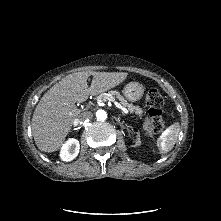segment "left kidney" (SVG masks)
<instances>
[{"label": "left kidney", "instance_id": "1", "mask_svg": "<svg viewBox=\"0 0 221 221\" xmlns=\"http://www.w3.org/2000/svg\"><path fill=\"white\" fill-rule=\"evenodd\" d=\"M140 145H141V141H140V138H139V135H138V140H137V142L134 146H140Z\"/></svg>", "mask_w": 221, "mask_h": 221}]
</instances>
